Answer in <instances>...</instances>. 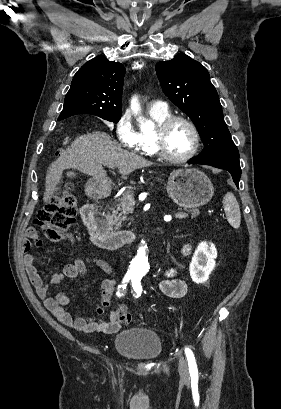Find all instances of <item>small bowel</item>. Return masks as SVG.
Instances as JSON below:
<instances>
[{
  "label": "small bowel",
  "instance_id": "obj_1",
  "mask_svg": "<svg viewBox=\"0 0 281 409\" xmlns=\"http://www.w3.org/2000/svg\"><path fill=\"white\" fill-rule=\"evenodd\" d=\"M37 237V231L30 227L26 232V238L23 240L22 244L24 251L23 262L38 297L48 310L63 324L78 331L104 334H115L122 331L130 322L119 319V313H128L127 305L124 301L120 302L118 307L110 312L108 319L96 318V316L102 315L110 306L111 298L118 289L119 278L113 267L108 262L98 257H80L73 263L65 265L62 272L54 273L51 276L50 282L53 285H59L67 279H79L85 274L86 262L94 263L102 271L111 276L108 279H104L100 284V305L94 308V313L90 316H78L67 310L70 298L66 293H59L55 297L49 296L48 284L45 283L38 274L34 263V256L29 252L31 248V240H34V245L37 246L38 251L44 250V245L41 244V240L37 239ZM182 252L188 254L190 252V246H183ZM159 290L163 295L169 298L179 299L186 295L188 285L178 276L177 268L170 267L163 272V279L159 282Z\"/></svg>",
  "mask_w": 281,
  "mask_h": 409
}]
</instances>
